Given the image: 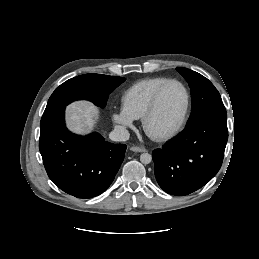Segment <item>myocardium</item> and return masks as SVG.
<instances>
[{
    "instance_id": "f54148a6",
    "label": "myocardium",
    "mask_w": 259,
    "mask_h": 259,
    "mask_svg": "<svg viewBox=\"0 0 259 259\" xmlns=\"http://www.w3.org/2000/svg\"><path fill=\"white\" fill-rule=\"evenodd\" d=\"M172 83H176V84L180 85L185 92L186 104H185V108H184L182 117L179 120V122L177 123V125L174 128H172L170 131H168L164 134H161V135H153L149 131V122L158 108L160 97H161L163 90ZM190 107H191V93L189 91V88L186 86V84L178 79L166 80L155 90L153 97L151 99V102L149 104V107L147 108L145 114L142 117V126H143L145 133L155 141H166V140L173 138L175 135H177L181 131V129L185 125L188 115H189Z\"/></svg>"
}]
</instances>
